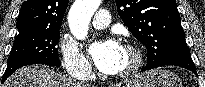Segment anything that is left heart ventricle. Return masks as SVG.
<instances>
[{
	"mask_svg": "<svg viewBox=\"0 0 205 87\" xmlns=\"http://www.w3.org/2000/svg\"><path fill=\"white\" fill-rule=\"evenodd\" d=\"M132 62V55L125 49H122V54L119 60L118 71L125 70Z\"/></svg>",
	"mask_w": 205,
	"mask_h": 87,
	"instance_id": "obj_1",
	"label": "left heart ventricle"
}]
</instances>
